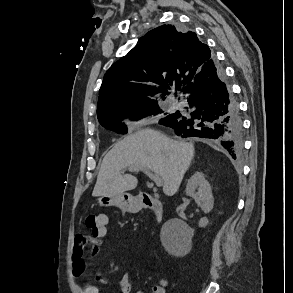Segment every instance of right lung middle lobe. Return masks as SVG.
Here are the masks:
<instances>
[{"label":"right lung middle lobe","mask_w":293,"mask_h":293,"mask_svg":"<svg viewBox=\"0 0 293 293\" xmlns=\"http://www.w3.org/2000/svg\"><path fill=\"white\" fill-rule=\"evenodd\" d=\"M163 113V115H168L169 113L162 111L158 104H154L148 108L130 111V112H113L102 117H99L98 120L100 124L111 130H115L118 133H126L128 131L124 118L130 117L133 120H138L143 117Z\"/></svg>","instance_id":"1"}]
</instances>
